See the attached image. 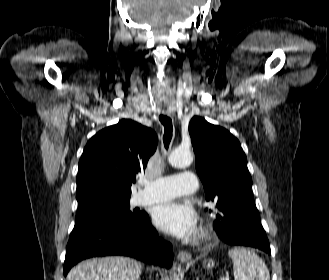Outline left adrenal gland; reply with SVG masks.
Returning <instances> with one entry per match:
<instances>
[{"label": "left adrenal gland", "mask_w": 329, "mask_h": 280, "mask_svg": "<svg viewBox=\"0 0 329 280\" xmlns=\"http://www.w3.org/2000/svg\"><path fill=\"white\" fill-rule=\"evenodd\" d=\"M196 280H199V276L196 278Z\"/></svg>", "instance_id": "left-adrenal-gland-1"}]
</instances>
